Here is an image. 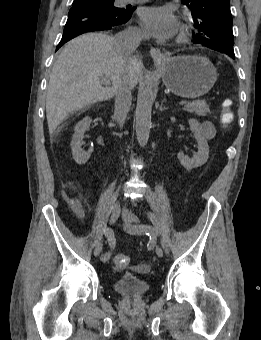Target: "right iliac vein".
I'll return each instance as SVG.
<instances>
[{"label": "right iliac vein", "instance_id": "1", "mask_svg": "<svg viewBox=\"0 0 261 340\" xmlns=\"http://www.w3.org/2000/svg\"><path fill=\"white\" fill-rule=\"evenodd\" d=\"M120 212H121V208H120L119 204H115V205L112 206V208L110 210V218H109V221H110L111 224L117 221V219L119 218ZM102 248H103L102 242L98 243L95 246V248L93 250V257L94 258H97L101 254Z\"/></svg>", "mask_w": 261, "mask_h": 340}]
</instances>
